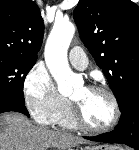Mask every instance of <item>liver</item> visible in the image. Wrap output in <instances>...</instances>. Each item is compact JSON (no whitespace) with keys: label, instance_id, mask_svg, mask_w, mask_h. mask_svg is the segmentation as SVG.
Listing matches in <instances>:
<instances>
[{"label":"liver","instance_id":"6515ba94","mask_svg":"<svg viewBox=\"0 0 139 150\" xmlns=\"http://www.w3.org/2000/svg\"><path fill=\"white\" fill-rule=\"evenodd\" d=\"M85 141L59 131L47 130L31 124L18 113L0 115V150H67Z\"/></svg>","mask_w":139,"mask_h":150}]
</instances>
